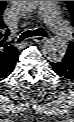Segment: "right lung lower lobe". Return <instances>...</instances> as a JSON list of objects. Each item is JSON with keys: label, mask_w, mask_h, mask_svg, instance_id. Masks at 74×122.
I'll use <instances>...</instances> for the list:
<instances>
[{"label": "right lung lower lobe", "mask_w": 74, "mask_h": 122, "mask_svg": "<svg viewBox=\"0 0 74 122\" xmlns=\"http://www.w3.org/2000/svg\"><path fill=\"white\" fill-rule=\"evenodd\" d=\"M14 66H15V65H14ZM14 66H13L12 70H11L10 72H8V74H7L6 76H4V77H0V80H1V78H6V77L13 71Z\"/></svg>", "instance_id": "obj_1"}]
</instances>
